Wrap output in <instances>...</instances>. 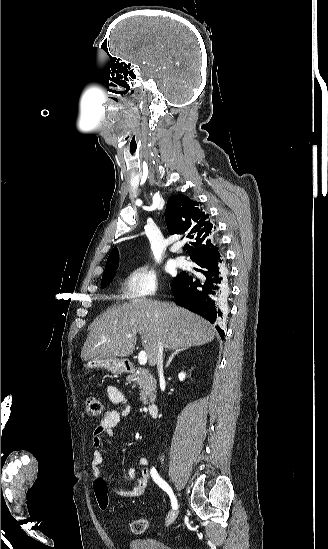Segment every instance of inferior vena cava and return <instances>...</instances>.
<instances>
[{"label":"inferior vena cava","mask_w":328,"mask_h":549,"mask_svg":"<svg viewBox=\"0 0 328 549\" xmlns=\"http://www.w3.org/2000/svg\"><path fill=\"white\" fill-rule=\"evenodd\" d=\"M163 347H162V343H159V351H158V359H157V365H158V369L160 371V375L162 377V363H163Z\"/></svg>","instance_id":"602c4592"}]
</instances>
